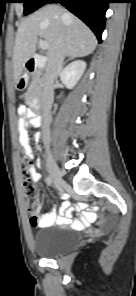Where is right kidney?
Listing matches in <instances>:
<instances>
[{
  "instance_id": "right-kidney-1",
  "label": "right kidney",
  "mask_w": 136,
  "mask_h": 296,
  "mask_svg": "<svg viewBox=\"0 0 136 296\" xmlns=\"http://www.w3.org/2000/svg\"><path fill=\"white\" fill-rule=\"evenodd\" d=\"M85 69H86L85 61H82V60L74 61L62 70L60 74V79L68 89H72L82 77Z\"/></svg>"
}]
</instances>
